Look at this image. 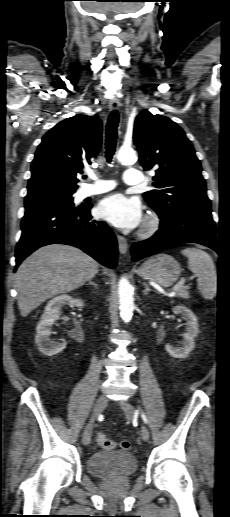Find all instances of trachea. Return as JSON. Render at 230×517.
I'll return each instance as SVG.
<instances>
[{"instance_id":"trachea-1","label":"trachea","mask_w":230,"mask_h":517,"mask_svg":"<svg viewBox=\"0 0 230 517\" xmlns=\"http://www.w3.org/2000/svg\"><path fill=\"white\" fill-rule=\"evenodd\" d=\"M119 123V114L117 110L110 113L107 124H106V158L108 162H111L115 152L117 142V127ZM86 178V176H84Z\"/></svg>"}]
</instances>
